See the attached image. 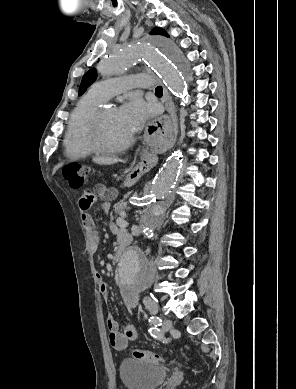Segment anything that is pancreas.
<instances>
[{
  "label": "pancreas",
  "instance_id": "obj_1",
  "mask_svg": "<svg viewBox=\"0 0 296 389\" xmlns=\"http://www.w3.org/2000/svg\"><path fill=\"white\" fill-rule=\"evenodd\" d=\"M129 206L126 201L121 200L114 205V212L120 216H125V210H128Z\"/></svg>",
  "mask_w": 296,
  "mask_h": 389
}]
</instances>
